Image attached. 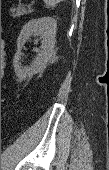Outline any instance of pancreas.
I'll use <instances>...</instances> for the list:
<instances>
[{
  "instance_id": "obj_1",
  "label": "pancreas",
  "mask_w": 109,
  "mask_h": 170,
  "mask_svg": "<svg viewBox=\"0 0 109 170\" xmlns=\"http://www.w3.org/2000/svg\"><path fill=\"white\" fill-rule=\"evenodd\" d=\"M13 17H20L25 14H30L33 9L29 6L19 5L17 8L11 10Z\"/></svg>"
}]
</instances>
